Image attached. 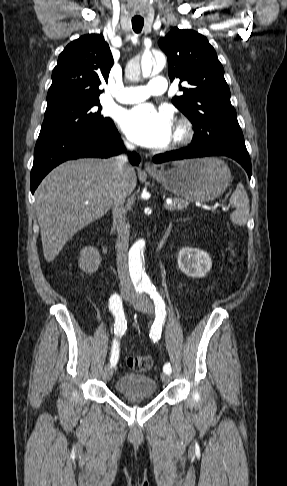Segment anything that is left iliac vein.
<instances>
[{
	"instance_id": "4c4485c4",
	"label": "left iliac vein",
	"mask_w": 287,
	"mask_h": 486,
	"mask_svg": "<svg viewBox=\"0 0 287 486\" xmlns=\"http://www.w3.org/2000/svg\"><path fill=\"white\" fill-rule=\"evenodd\" d=\"M130 303L135 309L145 314L153 313V306L150 300L145 295L133 294L130 298ZM161 379L164 383H169L171 381V376L167 373L161 374Z\"/></svg>"
}]
</instances>
